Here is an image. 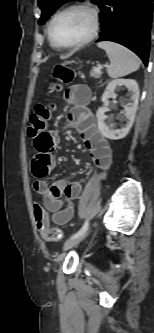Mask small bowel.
Masks as SVG:
<instances>
[{
	"label": "small bowel",
	"instance_id": "obj_1",
	"mask_svg": "<svg viewBox=\"0 0 154 333\" xmlns=\"http://www.w3.org/2000/svg\"><path fill=\"white\" fill-rule=\"evenodd\" d=\"M72 108L69 112L70 125L79 133L94 164L103 171L110 166L112 151L108 140L98 129L91 110L87 107L91 92L84 84H74L65 93ZM35 154L32 158V173L38 178L34 191L42 196L45 209L51 213V221L57 225L69 222L74 214L73 201L78 199L82 185L79 181L58 180L48 185L41 178L55 167L54 152L58 145L55 131L45 128L33 139Z\"/></svg>",
	"mask_w": 154,
	"mask_h": 333
}]
</instances>
